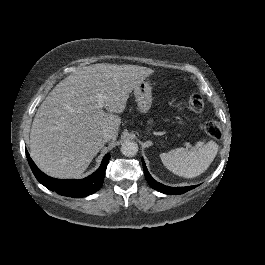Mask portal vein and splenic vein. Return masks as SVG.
I'll return each instance as SVG.
<instances>
[{
	"label": "portal vein and splenic vein",
	"mask_w": 265,
	"mask_h": 265,
	"mask_svg": "<svg viewBox=\"0 0 265 265\" xmlns=\"http://www.w3.org/2000/svg\"><path fill=\"white\" fill-rule=\"evenodd\" d=\"M97 105L99 109L103 108L104 105V94L102 92H96ZM187 147H191V144L187 142Z\"/></svg>",
	"instance_id": "1"
}]
</instances>
